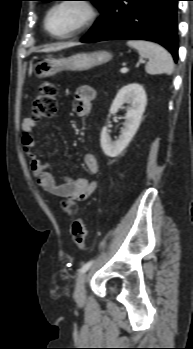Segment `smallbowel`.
Here are the masks:
<instances>
[{
	"mask_svg": "<svg viewBox=\"0 0 193 349\" xmlns=\"http://www.w3.org/2000/svg\"><path fill=\"white\" fill-rule=\"evenodd\" d=\"M96 97V91L90 86H81L76 89L74 99L76 101V114L79 117L87 116L92 108V102ZM38 121L25 118L22 121V145L29 157L31 170L39 185L49 194L63 199V208L69 215L77 212V203L87 200L96 190L95 181L88 180L80 175L66 176L63 182L58 184L50 173L51 164L42 161L35 150L34 128ZM84 165L90 174L97 173L99 164L97 158L87 153L84 156Z\"/></svg>",
	"mask_w": 193,
	"mask_h": 349,
	"instance_id": "obj_1",
	"label": "small bowel"
}]
</instances>
